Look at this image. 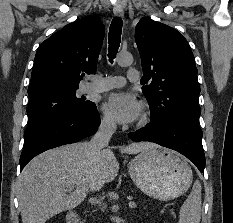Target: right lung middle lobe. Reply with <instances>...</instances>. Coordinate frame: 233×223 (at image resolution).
<instances>
[{
    "label": "right lung middle lobe",
    "mask_w": 233,
    "mask_h": 223,
    "mask_svg": "<svg viewBox=\"0 0 233 223\" xmlns=\"http://www.w3.org/2000/svg\"><path fill=\"white\" fill-rule=\"evenodd\" d=\"M77 90L78 87L49 88L30 94L27 131L93 104L91 101L77 97Z\"/></svg>",
    "instance_id": "1"
}]
</instances>
